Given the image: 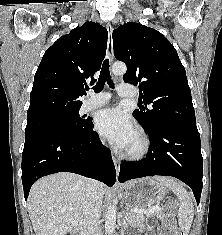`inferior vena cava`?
Segmentation results:
<instances>
[{
  "instance_id": "inferior-vena-cava-1",
  "label": "inferior vena cava",
  "mask_w": 222,
  "mask_h": 235,
  "mask_svg": "<svg viewBox=\"0 0 222 235\" xmlns=\"http://www.w3.org/2000/svg\"><path fill=\"white\" fill-rule=\"evenodd\" d=\"M102 200L103 193L100 189V183L89 179L86 189L85 207L80 220L84 235H102L100 227Z\"/></svg>"
}]
</instances>
